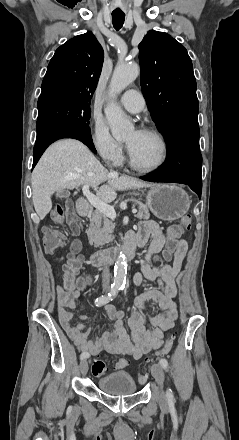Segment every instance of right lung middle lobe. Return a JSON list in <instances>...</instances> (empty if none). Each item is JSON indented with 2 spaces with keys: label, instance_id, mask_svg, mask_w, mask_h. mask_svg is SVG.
Instances as JSON below:
<instances>
[{
  "label": "right lung middle lobe",
  "instance_id": "obj_1",
  "mask_svg": "<svg viewBox=\"0 0 239 440\" xmlns=\"http://www.w3.org/2000/svg\"><path fill=\"white\" fill-rule=\"evenodd\" d=\"M90 101L86 99L56 97L38 102L36 129L49 123L70 124L90 131Z\"/></svg>",
  "mask_w": 239,
  "mask_h": 440
}]
</instances>
